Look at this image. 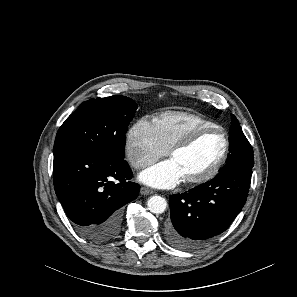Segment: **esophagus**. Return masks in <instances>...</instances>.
Segmentation results:
<instances>
[{
	"mask_svg": "<svg viewBox=\"0 0 297 297\" xmlns=\"http://www.w3.org/2000/svg\"><path fill=\"white\" fill-rule=\"evenodd\" d=\"M140 193L142 195H150V194H153V190L149 189V188H146V187H142L140 189Z\"/></svg>",
	"mask_w": 297,
	"mask_h": 297,
	"instance_id": "esophagus-1",
	"label": "esophagus"
}]
</instances>
